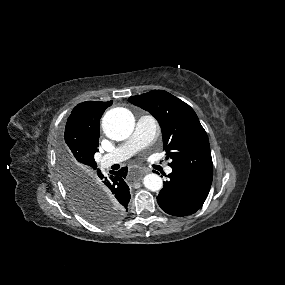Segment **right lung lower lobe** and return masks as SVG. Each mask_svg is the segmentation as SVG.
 Wrapping results in <instances>:
<instances>
[{
  "instance_id": "1",
  "label": "right lung lower lobe",
  "mask_w": 285,
  "mask_h": 285,
  "mask_svg": "<svg viewBox=\"0 0 285 285\" xmlns=\"http://www.w3.org/2000/svg\"><path fill=\"white\" fill-rule=\"evenodd\" d=\"M127 171V167H124L113 172L112 175L104 176L97 169L90 179L89 187L98 192L100 196L108 198L110 202L125 212L131 197L129 187L125 182Z\"/></svg>"
}]
</instances>
